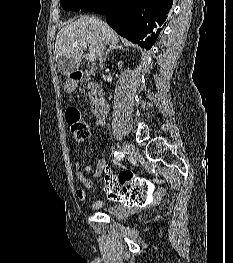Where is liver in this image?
<instances>
[{"label":"liver","mask_w":233,"mask_h":263,"mask_svg":"<svg viewBox=\"0 0 233 263\" xmlns=\"http://www.w3.org/2000/svg\"><path fill=\"white\" fill-rule=\"evenodd\" d=\"M85 42L90 54L99 57L107 45L118 42V35L105 22L92 16H83L63 27L56 38V61L63 58V73L69 75L80 64Z\"/></svg>","instance_id":"obj_1"}]
</instances>
